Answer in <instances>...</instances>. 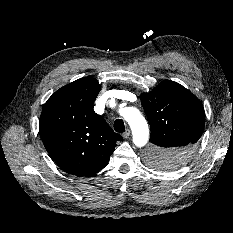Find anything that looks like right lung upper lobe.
Returning <instances> with one entry per match:
<instances>
[{"mask_svg": "<svg viewBox=\"0 0 233 233\" xmlns=\"http://www.w3.org/2000/svg\"><path fill=\"white\" fill-rule=\"evenodd\" d=\"M99 91L92 77L65 85L47 100L39 120L41 139L52 159L78 177L104 168L116 141L122 140L93 110Z\"/></svg>", "mask_w": 233, "mask_h": 233, "instance_id": "right-lung-upper-lobe-1", "label": "right lung upper lobe"}]
</instances>
